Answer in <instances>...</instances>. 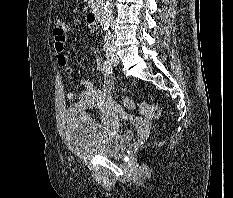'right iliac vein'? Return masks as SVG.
Returning <instances> with one entry per match:
<instances>
[{
    "label": "right iliac vein",
    "instance_id": "63e3f726",
    "mask_svg": "<svg viewBox=\"0 0 233 198\" xmlns=\"http://www.w3.org/2000/svg\"><path fill=\"white\" fill-rule=\"evenodd\" d=\"M109 57L111 58V60L113 61L114 60V58H115V55L113 54V53H110L109 54Z\"/></svg>",
    "mask_w": 233,
    "mask_h": 198
}]
</instances>
